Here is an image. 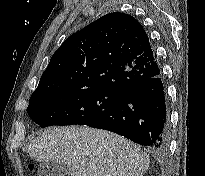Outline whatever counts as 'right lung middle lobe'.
<instances>
[{
  "instance_id": "1",
  "label": "right lung middle lobe",
  "mask_w": 205,
  "mask_h": 176,
  "mask_svg": "<svg viewBox=\"0 0 205 176\" xmlns=\"http://www.w3.org/2000/svg\"><path fill=\"white\" fill-rule=\"evenodd\" d=\"M122 92L110 88L64 90L31 96L27 113L40 127L88 125L99 118Z\"/></svg>"
}]
</instances>
